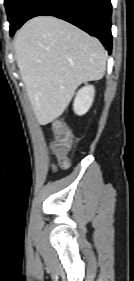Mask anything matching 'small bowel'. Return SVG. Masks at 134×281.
<instances>
[{
    "instance_id": "1",
    "label": "small bowel",
    "mask_w": 134,
    "mask_h": 281,
    "mask_svg": "<svg viewBox=\"0 0 134 281\" xmlns=\"http://www.w3.org/2000/svg\"><path fill=\"white\" fill-rule=\"evenodd\" d=\"M52 169H53V170H56L57 167H56L55 165H52Z\"/></svg>"
}]
</instances>
